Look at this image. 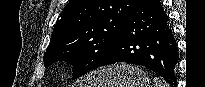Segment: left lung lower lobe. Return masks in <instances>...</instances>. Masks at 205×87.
<instances>
[{
	"instance_id": "1",
	"label": "left lung lower lobe",
	"mask_w": 205,
	"mask_h": 87,
	"mask_svg": "<svg viewBox=\"0 0 205 87\" xmlns=\"http://www.w3.org/2000/svg\"><path fill=\"white\" fill-rule=\"evenodd\" d=\"M178 58L176 40L162 4L158 0H136L112 52L101 66L121 62L141 65L175 86Z\"/></svg>"
}]
</instances>
